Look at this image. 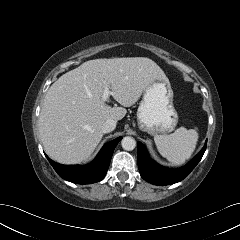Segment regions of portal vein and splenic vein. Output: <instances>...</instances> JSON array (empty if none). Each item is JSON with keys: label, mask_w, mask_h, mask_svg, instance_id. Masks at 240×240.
Instances as JSON below:
<instances>
[{"label": "portal vein and splenic vein", "mask_w": 240, "mask_h": 240, "mask_svg": "<svg viewBox=\"0 0 240 240\" xmlns=\"http://www.w3.org/2000/svg\"><path fill=\"white\" fill-rule=\"evenodd\" d=\"M110 95H112V92L109 90L108 86L106 85L104 88L102 98H101L102 101L106 102Z\"/></svg>", "instance_id": "obj_1"}]
</instances>
